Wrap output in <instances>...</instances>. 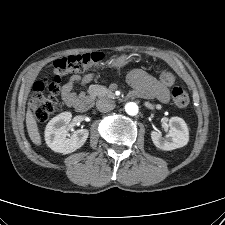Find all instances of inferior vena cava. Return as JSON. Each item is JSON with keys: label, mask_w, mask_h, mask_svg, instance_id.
<instances>
[{"label": "inferior vena cava", "mask_w": 225, "mask_h": 225, "mask_svg": "<svg viewBox=\"0 0 225 225\" xmlns=\"http://www.w3.org/2000/svg\"><path fill=\"white\" fill-rule=\"evenodd\" d=\"M96 107L100 112H108L115 108V103L111 99L101 98L96 102Z\"/></svg>", "instance_id": "602c4592"}]
</instances>
